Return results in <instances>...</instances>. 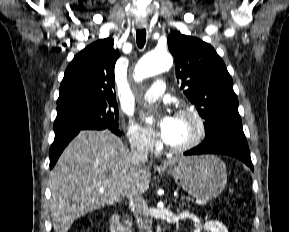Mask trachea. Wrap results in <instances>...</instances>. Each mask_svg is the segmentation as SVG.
<instances>
[{"instance_id": "3493384b", "label": "trachea", "mask_w": 289, "mask_h": 232, "mask_svg": "<svg viewBox=\"0 0 289 232\" xmlns=\"http://www.w3.org/2000/svg\"><path fill=\"white\" fill-rule=\"evenodd\" d=\"M136 41L139 48H143L146 42V30L141 29L136 32Z\"/></svg>"}]
</instances>
